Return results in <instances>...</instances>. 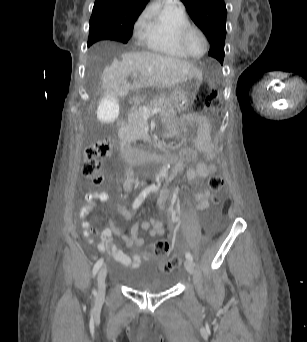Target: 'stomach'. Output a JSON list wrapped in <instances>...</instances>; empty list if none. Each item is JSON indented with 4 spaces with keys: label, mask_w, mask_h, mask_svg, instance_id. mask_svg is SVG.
I'll return each mask as SVG.
<instances>
[{
    "label": "stomach",
    "mask_w": 307,
    "mask_h": 342,
    "mask_svg": "<svg viewBox=\"0 0 307 342\" xmlns=\"http://www.w3.org/2000/svg\"><path fill=\"white\" fill-rule=\"evenodd\" d=\"M200 83L201 79L192 78L175 88L170 95L173 108L180 112L186 110L194 98Z\"/></svg>",
    "instance_id": "0dacf381"
}]
</instances>
